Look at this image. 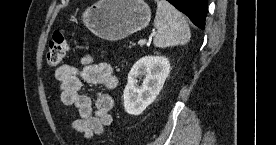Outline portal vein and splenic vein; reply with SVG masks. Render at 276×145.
I'll use <instances>...</instances> for the list:
<instances>
[{
    "mask_svg": "<svg viewBox=\"0 0 276 145\" xmlns=\"http://www.w3.org/2000/svg\"><path fill=\"white\" fill-rule=\"evenodd\" d=\"M145 43H146V40H144V39H141L138 41V45H140V46L144 45Z\"/></svg>",
    "mask_w": 276,
    "mask_h": 145,
    "instance_id": "portal-vein-and-splenic-vein-1",
    "label": "portal vein and splenic vein"
}]
</instances>
